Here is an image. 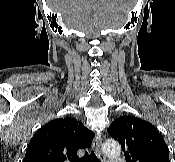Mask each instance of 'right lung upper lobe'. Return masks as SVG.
<instances>
[{
	"label": "right lung upper lobe",
	"instance_id": "obj_1",
	"mask_svg": "<svg viewBox=\"0 0 175 162\" xmlns=\"http://www.w3.org/2000/svg\"><path fill=\"white\" fill-rule=\"evenodd\" d=\"M93 137L81 121L54 119L34 134L23 162H80L77 151L89 147Z\"/></svg>",
	"mask_w": 175,
	"mask_h": 162
}]
</instances>
